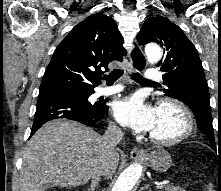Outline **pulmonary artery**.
Here are the masks:
<instances>
[{
    "label": "pulmonary artery",
    "instance_id": "e3ab8cb5",
    "mask_svg": "<svg viewBox=\"0 0 221 191\" xmlns=\"http://www.w3.org/2000/svg\"><path fill=\"white\" fill-rule=\"evenodd\" d=\"M145 78L146 80L151 82L160 81L162 79V73L153 69H149L145 72ZM122 89L123 87L121 85H115L111 87H101L98 89L95 96L96 97L110 96L120 92Z\"/></svg>",
    "mask_w": 221,
    "mask_h": 191
}]
</instances>
